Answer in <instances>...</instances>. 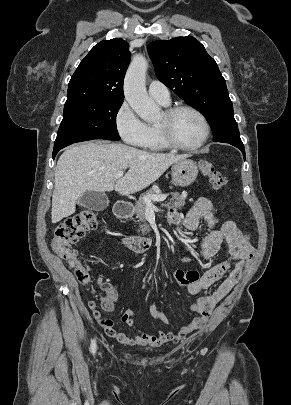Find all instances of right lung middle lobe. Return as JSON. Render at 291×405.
Here are the masks:
<instances>
[{"mask_svg": "<svg viewBox=\"0 0 291 405\" xmlns=\"http://www.w3.org/2000/svg\"><path fill=\"white\" fill-rule=\"evenodd\" d=\"M123 101H78L65 104L53 156L76 142L92 139L120 140L116 115Z\"/></svg>", "mask_w": 291, "mask_h": 405, "instance_id": "right-lung-middle-lobe-1", "label": "right lung middle lobe"}]
</instances>
